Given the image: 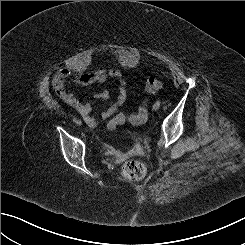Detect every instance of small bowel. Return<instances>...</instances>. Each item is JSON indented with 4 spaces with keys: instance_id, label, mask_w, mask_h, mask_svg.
<instances>
[{
    "instance_id": "c3829d8e",
    "label": "small bowel",
    "mask_w": 245,
    "mask_h": 245,
    "mask_svg": "<svg viewBox=\"0 0 245 245\" xmlns=\"http://www.w3.org/2000/svg\"><path fill=\"white\" fill-rule=\"evenodd\" d=\"M109 79L119 82L117 95L114 102L97 116L91 115L92 106L89 102L80 100L74 93L67 89L69 81L79 85H90L94 83H103ZM52 85L57 96L68 106L75 109L83 117L85 123L91 128L100 126L103 121L116 114L127 99L126 81L119 69L100 68L94 72H78L73 74V71L70 68H62L54 75ZM94 97L97 99H108L109 92L105 89L99 90L94 93Z\"/></svg>"
}]
</instances>
